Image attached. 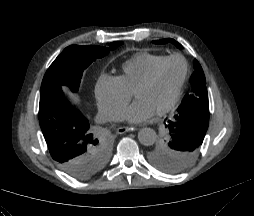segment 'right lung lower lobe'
<instances>
[{
  "label": "right lung lower lobe",
  "instance_id": "right-lung-lower-lobe-1",
  "mask_svg": "<svg viewBox=\"0 0 254 216\" xmlns=\"http://www.w3.org/2000/svg\"><path fill=\"white\" fill-rule=\"evenodd\" d=\"M39 123L51 157L67 174L89 179L99 172L98 140L87 118L74 109L61 89L41 92ZM79 165V169H75Z\"/></svg>",
  "mask_w": 254,
  "mask_h": 216
}]
</instances>
